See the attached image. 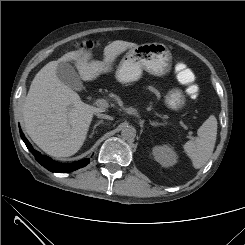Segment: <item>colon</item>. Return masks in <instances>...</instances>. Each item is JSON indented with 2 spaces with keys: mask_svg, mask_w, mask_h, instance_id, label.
<instances>
[{
  "mask_svg": "<svg viewBox=\"0 0 245 245\" xmlns=\"http://www.w3.org/2000/svg\"><path fill=\"white\" fill-rule=\"evenodd\" d=\"M86 46L87 47H93V42L92 41H86ZM185 87L186 94L193 98L196 97L199 94V87L198 85L194 84L192 82H187V83H182Z\"/></svg>",
  "mask_w": 245,
  "mask_h": 245,
  "instance_id": "1",
  "label": "colon"
}]
</instances>
